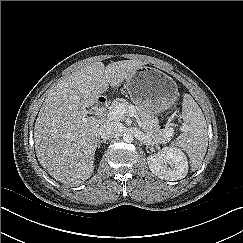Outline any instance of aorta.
I'll use <instances>...</instances> for the list:
<instances>
[{"label": "aorta", "instance_id": "obj_1", "mask_svg": "<svg viewBox=\"0 0 243 243\" xmlns=\"http://www.w3.org/2000/svg\"><path fill=\"white\" fill-rule=\"evenodd\" d=\"M133 134L131 132H126L123 134V141L127 143H131L133 141Z\"/></svg>", "mask_w": 243, "mask_h": 243}]
</instances>
